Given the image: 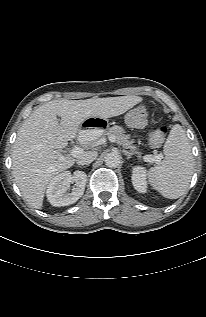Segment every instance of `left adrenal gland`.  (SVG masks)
Listing matches in <instances>:
<instances>
[{
  "label": "left adrenal gland",
  "mask_w": 206,
  "mask_h": 317,
  "mask_svg": "<svg viewBox=\"0 0 206 317\" xmlns=\"http://www.w3.org/2000/svg\"><path fill=\"white\" fill-rule=\"evenodd\" d=\"M123 153L127 156V159H130L131 158V155H133L132 152H128L126 150H123Z\"/></svg>",
  "instance_id": "1"
}]
</instances>
